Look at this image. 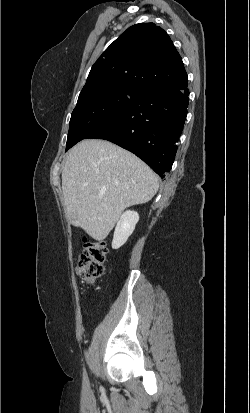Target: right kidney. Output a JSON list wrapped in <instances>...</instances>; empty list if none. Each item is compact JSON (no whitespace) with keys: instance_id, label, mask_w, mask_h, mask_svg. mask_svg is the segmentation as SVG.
Instances as JSON below:
<instances>
[{"instance_id":"ca27d5eb","label":"right kidney","mask_w":250,"mask_h":413,"mask_svg":"<svg viewBox=\"0 0 250 413\" xmlns=\"http://www.w3.org/2000/svg\"><path fill=\"white\" fill-rule=\"evenodd\" d=\"M138 221L139 214L136 211L128 210L121 215L114 232L113 249H118L125 244L128 237L133 233Z\"/></svg>"}]
</instances>
